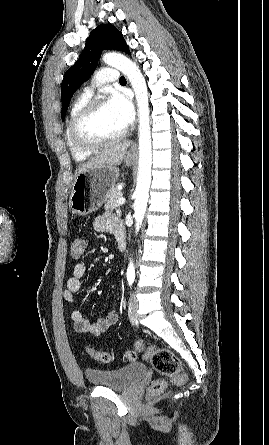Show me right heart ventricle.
<instances>
[{
	"label": "right heart ventricle",
	"mask_w": 269,
	"mask_h": 445,
	"mask_svg": "<svg viewBox=\"0 0 269 445\" xmlns=\"http://www.w3.org/2000/svg\"><path fill=\"white\" fill-rule=\"evenodd\" d=\"M90 100V95L87 93H83L80 96H78L69 111V115H68V120H67V125H66V141H67V146L70 150V153L72 155V157L78 161V162H82L87 160L91 155L92 152H86V151H82L80 149H78L73 142L71 141L70 138V124L71 121L73 119V117L75 116V114Z\"/></svg>",
	"instance_id": "e07e8e85"
}]
</instances>
